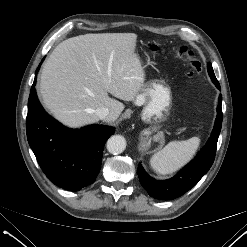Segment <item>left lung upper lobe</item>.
<instances>
[{
  "instance_id": "5c2ea615",
  "label": "left lung upper lobe",
  "mask_w": 247,
  "mask_h": 247,
  "mask_svg": "<svg viewBox=\"0 0 247 247\" xmlns=\"http://www.w3.org/2000/svg\"><path fill=\"white\" fill-rule=\"evenodd\" d=\"M207 68H208V73H209L211 79L212 80H217L216 77H215V74H214V71H213L211 63H208Z\"/></svg>"
}]
</instances>
